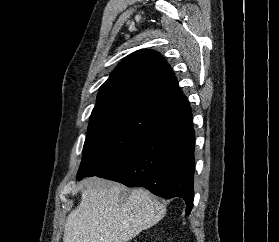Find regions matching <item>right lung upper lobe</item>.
Wrapping results in <instances>:
<instances>
[{
    "label": "right lung upper lobe",
    "instance_id": "cb5924a9",
    "mask_svg": "<svg viewBox=\"0 0 279 242\" xmlns=\"http://www.w3.org/2000/svg\"><path fill=\"white\" fill-rule=\"evenodd\" d=\"M189 104L170 65L153 50L122 60L100 87L92 114L140 111L161 115Z\"/></svg>",
    "mask_w": 279,
    "mask_h": 242
}]
</instances>
